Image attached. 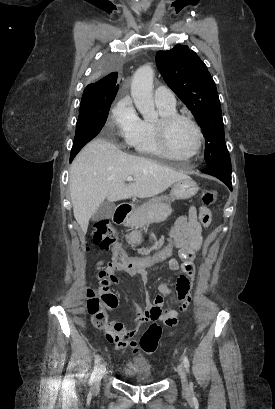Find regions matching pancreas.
Masks as SVG:
<instances>
[{
	"instance_id": "cf45deb5",
	"label": "pancreas",
	"mask_w": 275,
	"mask_h": 409,
	"mask_svg": "<svg viewBox=\"0 0 275 409\" xmlns=\"http://www.w3.org/2000/svg\"><path fill=\"white\" fill-rule=\"evenodd\" d=\"M172 209L169 205H165V202H146V205H142L140 209H135L126 219L125 227H140V225H150V223H160L165 221L169 215H171ZM128 245L136 247L141 243L140 231H132L130 235H126Z\"/></svg>"
}]
</instances>
